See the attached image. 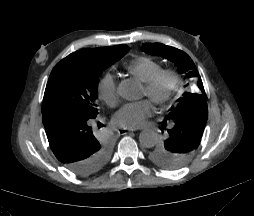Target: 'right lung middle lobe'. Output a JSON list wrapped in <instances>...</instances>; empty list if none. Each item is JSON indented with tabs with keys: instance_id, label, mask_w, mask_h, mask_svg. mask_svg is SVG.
<instances>
[{
	"instance_id": "dd1d6c3e",
	"label": "right lung middle lobe",
	"mask_w": 254,
	"mask_h": 216,
	"mask_svg": "<svg viewBox=\"0 0 254 216\" xmlns=\"http://www.w3.org/2000/svg\"><path fill=\"white\" fill-rule=\"evenodd\" d=\"M126 52L88 48L76 51L61 60L50 74L43 98L42 114L60 110L95 119L98 114L95 105L98 76ZM110 152V146L103 144L100 156L82 177L98 172L109 159Z\"/></svg>"
}]
</instances>
